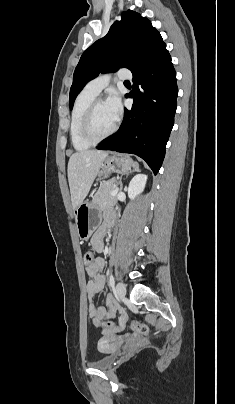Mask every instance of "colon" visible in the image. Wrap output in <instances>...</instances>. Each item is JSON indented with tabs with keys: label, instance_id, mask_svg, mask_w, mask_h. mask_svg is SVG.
Segmentation results:
<instances>
[{
	"label": "colon",
	"instance_id": "colon-1",
	"mask_svg": "<svg viewBox=\"0 0 235 404\" xmlns=\"http://www.w3.org/2000/svg\"><path fill=\"white\" fill-rule=\"evenodd\" d=\"M83 261L85 265H91L94 262V255L90 250H86L83 254ZM104 325L107 326H114L116 327L117 330H123L125 327L130 328L132 331L141 333V334H147L150 331V328L141 322L138 321H132L130 323H126L124 317L121 318L119 323L117 325L111 324V323H103Z\"/></svg>",
	"mask_w": 235,
	"mask_h": 404
}]
</instances>
